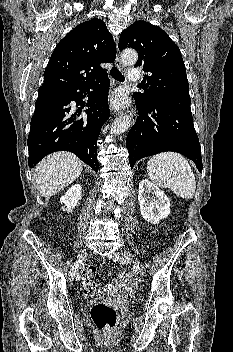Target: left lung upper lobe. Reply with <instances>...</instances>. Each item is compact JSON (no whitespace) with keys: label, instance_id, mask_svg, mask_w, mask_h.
<instances>
[{"label":"left lung upper lobe","instance_id":"left-lung-upper-lobe-1","mask_svg":"<svg viewBox=\"0 0 233 352\" xmlns=\"http://www.w3.org/2000/svg\"><path fill=\"white\" fill-rule=\"evenodd\" d=\"M118 47L134 48L138 52L134 67L141 66L147 72L144 91L133 94L136 101L162 103L192 114L183 58L165 31L148 22L136 21L121 33Z\"/></svg>","mask_w":233,"mask_h":352}]
</instances>
